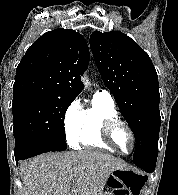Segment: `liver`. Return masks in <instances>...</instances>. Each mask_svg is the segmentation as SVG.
<instances>
[{
    "label": "liver",
    "mask_w": 178,
    "mask_h": 195,
    "mask_svg": "<svg viewBox=\"0 0 178 195\" xmlns=\"http://www.w3.org/2000/svg\"><path fill=\"white\" fill-rule=\"evenodd\" d=\"M127 164L102 152L46 153L22 162V195H102L109 175Z\"/></svg>",
    "instance_id": "1"
}]
</instances>
